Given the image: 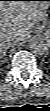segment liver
I'll return each instance as SVG.
<instances>
[{
  "mask_svg": "<svg viewBox=\"0 0 50 111\" xmlns=\"http://www.w3.org/2000/svg\"><path fill=\"white\" fill-rule=\"evenodd\" d=\"M49 3L30 0H8L0 3V40L2 45L9 37L23 41L30 29L45 20Z\"/></svg>",
  "mask_w": 50,
  "mask_h": 111,
  "instance_id": "liver-1",
  "label": "liver"
}]
</instances>
